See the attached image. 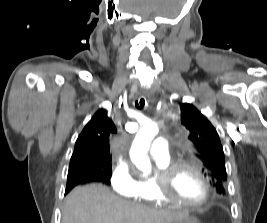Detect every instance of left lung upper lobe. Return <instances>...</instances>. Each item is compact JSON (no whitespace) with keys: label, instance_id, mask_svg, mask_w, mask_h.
Masks as SVG:
<instances>
[{"label":"left lung upper lobe","instance_id":"obj_1","mask_svg":"<svg viewBox=\"0 0 267 223\" xmlns=\"http://www.w3.org/2000/svg\"><path fill=\"white\" fill-rule=\"evenodd\" d=\"M181 123L188 131V139L197 156L210 173L214 189L224 194L223 182L227 180L225 158L219 136L210 121L192 104L181 103Z\"/></svg>","mask_w":267,"mask_h":223}]
</instances>
